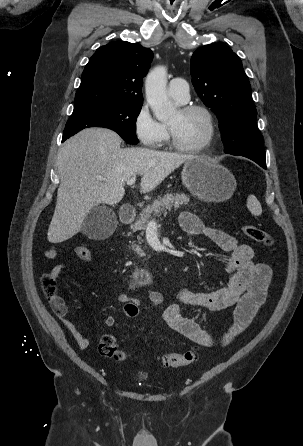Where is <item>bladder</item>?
Returning a JSON list of instances; mask_svg holds the SVG:
<instances>
[{"label":"bladder","instance_id":"1","mask_svg":"<svg viewBox=\"0 0 303 446\" xmlns=\"http://www.w3.org/2000/svg\"><path fill=\"white\" fill-rule=\"evenodd\" d=\"M139 379L143 380V379H145V376L140 375V376H139Z\"/></svg>","mask_w":303,"mask_h":446}]
</instances>
